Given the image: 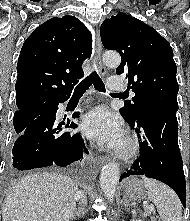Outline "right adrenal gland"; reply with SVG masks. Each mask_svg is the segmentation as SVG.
I'll return each instance as SVG.
<instances>
[{
    "label": "right adrenal gland",
    "instance_id": "right-adrenal-gland-1",
    "mask_svg": "<svg viewBox=\"0 0 190 221\" xmlns=\"http://www.w3.org/2000/svg\"><path fill=\"white\" fill-rule=\"evenodd\" d=\"M84 214V209L76 210L72 216V219L74 220L76 217H81Z\"/></svg>",
    "mask_w": 190,
    "mask_h": 221
}]
</instances>
